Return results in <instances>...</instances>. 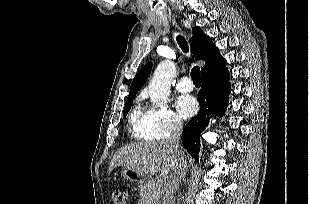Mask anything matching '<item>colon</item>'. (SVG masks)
I'll return each mask as SVG.
<instances>
[{
	"label": "colon",
	"mask_w": 309,
	"mask_h": 204,
	"mask_svg": "<svg viewBox=\"0 0 309 204\" xmlns=\"http://www.w3.org/2000/svg\"><path fill=\"white\" fill-rule=\"evenodd\" d=\"M126 192L121 190H116L113 193L114 204H125L126 201Z\"/></svg>",
	"instance_id": "1"
}]
</instances>
